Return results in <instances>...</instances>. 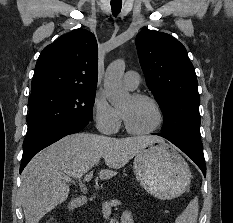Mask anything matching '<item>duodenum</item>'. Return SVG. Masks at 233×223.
Instances as JSON below:
<instances>
[{"label":"duodenum","instance_id":"duodenum-1","mask_svg":"<svg viewBox=\"0 0 233 223\" xmlns=\"http://www.w3.org/2000/svg\"><path fill=\"white\" fill-rule=\"evenodd\" d=\"M87 203V197L85 195H81L79 197H76L75 199H73L69 205H68V209L70 211H74L80 207H82L83 205H85Z\"/></svg>","mask_w":233,"mask_h":223}]
</instances>
